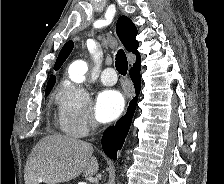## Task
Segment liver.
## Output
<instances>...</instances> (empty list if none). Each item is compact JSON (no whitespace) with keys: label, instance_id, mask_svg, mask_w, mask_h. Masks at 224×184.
Returning a JSON list of instances; mask_svg holds the SVG:
<instances>
[{"label":"liver","instance_id":"obj_1","mask_svg":"<svg viewBox=\"0 0 224 184\" xmlns=\"http://www.w3.org/2000/svg\"><path fill=\"white\" fill-rule=\"evenodd\" d=\"M91 144L64 135L42 138L29 155L25 170V184H57L68 182L83 173L91 177L98 172L99 164L92 156Z\"/></svg>","mask_w":224,"mask_h":184}]
</instances>
